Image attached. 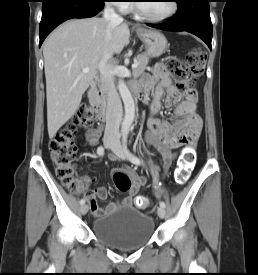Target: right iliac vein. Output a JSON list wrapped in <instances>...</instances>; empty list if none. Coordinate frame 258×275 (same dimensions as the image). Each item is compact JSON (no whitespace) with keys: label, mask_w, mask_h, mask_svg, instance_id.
Returning <instances> with one entry per match:
<instances>
[{"label":"right iliac vein","mask_w":258,"mask_h":275,"mask_svg":"<svg viewBox=\"0 0 258 275\" xmlns=\"http://www.w3.org/2000/svg\"><path fill=\"white\" fill-rule=\"evenodd\" d=\"M114 140L111 138H107L104 140V146L106 148H111V146L113 145ZM80 211L83 215H85L88 212V205L87 204H83L80 208Z\"/></svg>","instance_id":"1"}]
</instances>
